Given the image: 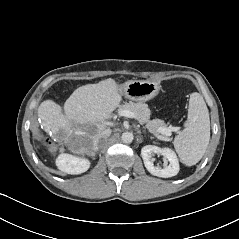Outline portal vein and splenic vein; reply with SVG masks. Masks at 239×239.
<instances>
[{"instance_id":"portal-vein-and-splenic-vein-1","label":"portal vein and splenic vein","mask_w":239,"mask_h":239,"mask_svg":"<svg viewBox=\"0 0 239 239\" xmlns=\"http://www.w3.org/2000/svg\"><path fill=\"white\" fill-rule=\"evenodd\" d=\"M119 115L120 116H125V117H128V118H136V114L134 112H131V111H128V110L120 111ZM173 130H174L173 128H160L159 132L163 135L170 136L171 132ZM158 137L161 138L160 136H158Z\"/></svg>"}]
</instances>
